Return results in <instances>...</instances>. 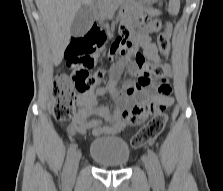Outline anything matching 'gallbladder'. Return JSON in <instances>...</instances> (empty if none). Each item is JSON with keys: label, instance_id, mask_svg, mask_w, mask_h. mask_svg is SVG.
<instances>
[{"label": "gallbladder", "instance_id": "bac80fb5", "mask_svg": "<svg viewBox=\"0 0 223 191\" xmlns=\"http://www.w3.org/2000/svg\"><path fill=\"white\" fill-rule=\"evenodd\" d=\"M93 23V13L89 6L82 5L74 17L71 25V35L81 37L85 35Z\"/></svg>", "mask_w": 223, "mask_h": 191}]
</instances>
